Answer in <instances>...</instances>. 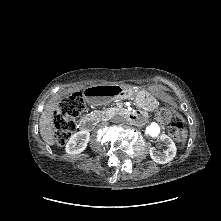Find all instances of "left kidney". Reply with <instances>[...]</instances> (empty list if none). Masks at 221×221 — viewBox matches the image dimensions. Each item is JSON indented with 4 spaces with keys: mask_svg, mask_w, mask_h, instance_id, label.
<instances>
[{
    "mask_svg": "<svg viewBox=\"0 0 221 221\" xmlns=\"http://www.w3.org/2000/svg\"><path fill=\"white\" fill-rule=\"evenodd\" d=\"M161 139L166 145V150L160 153L155 147H151L149 152L153 161L159 164H166L176 156L177 148L174 141L169 136L163 135Z\"/></svg>",
    "mask_w": 221,
    "mask_h": 221,
    "instance_id": "5707ae66",
    "label": "left kidney"
}]
</instances>
